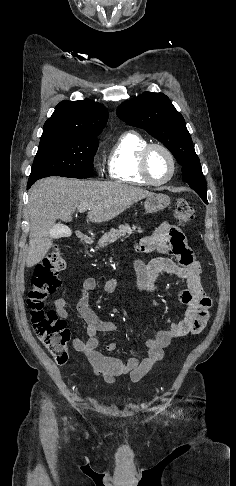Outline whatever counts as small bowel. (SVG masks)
<instances>
[{
	"instance_id": "c3829d8e",
	"label": "small bowel",
	"mask_w": 236,
	"mask_h": 486,
	"mask_svg": "<svg viewBox=\"0 0 236 486\" xmlns=\"http://www.w3.org/2000/svg\"><path fill=\"white\" fill-rule=\"evenodd\" d=\"M137 250L143 253H172L176 260L168 257H156L149 263L140 259L133 261L137 277V291L151 294L155 291V282L161 273L174 275L186 282L187 288L178 292V300L186 305L183 318L174 322L168 329L157 331L144 342L146 355L131 357L126 362L106 356L97 350V334L100 332H116L117 326L111 321L102 320L91 309L90 292L97 287L94 278H87L80 290V298L76 309L87 324L86 339L74 338L73 348L85 355L93 371L113 383L117 377L129 374L132 382H138L148 375L157 363L167 356V348L172 340L191 334H199L205 328L209 319L210 298L206 295L200 280L201 267L188 247L184 234L176 226L164 222L150 235L143 237L137 244ZM117 286V279L112 278L103 285V292L109 293ZM68 289L64 288L61 296L54 301L55 311L61 319L69 316V304L65 299ZM116 348L115 343L107 345L108 351Z\"/></svg>"
}]
</instances>
